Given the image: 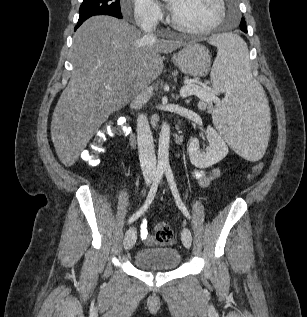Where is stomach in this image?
I'll list each match as a JSON object with an SVG mask.
<instances>
[{"mask_svg":"<svg viewBox=\"0 0 307 317\" xmlns=\"http://www.w3.org/2000/svg\"><path fill=\"white\" fill-rule=\"evenodd\" d=\"M174 64L186 75L206 76L211 63L208 49L198 43H189L172 57Z\"/></svg>","mask_w":307,"mask_h":317,"instance_id":"obj_1","label":"stomach"}]
</instances>
